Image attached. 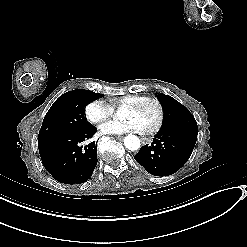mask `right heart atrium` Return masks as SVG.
<instances>
[{
  "instance_id": "obj_1",
  "label": "right heart atrium",
  "mask_w": 247,
  "mask_h": 247,
  "mask_svg": "<svg viewBox=\"0 0 247 247\" xmlns=\"http://www.w3.org/2000/svg\"><path fill=\"white\" fill-rule=\"evenodd\" d=\"M86 119L92 124H100L113 114V107L101 99H92L85 108Z\"/></svg>"
}]
</instances>
